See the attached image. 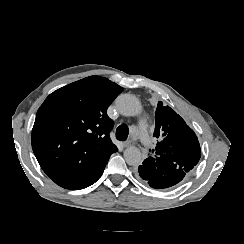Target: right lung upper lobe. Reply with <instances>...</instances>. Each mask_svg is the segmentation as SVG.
Instances as JSON below:
<instances>
[{"mask_svg": "<svg viewBox=\"0 0 244 244\" xmlns=\"http://www.w3.org/2000/svg\"><path fill=\"white\" fill-rule=\"evenodd\" d=\"M122 91L107 78L90 76L46 98L36 114L32 148L52 180L117 150L109 137L114 122L106 111Z\"/></svg>", "mask_w": 244, "mask_h": 244, "instance_id": "obj_1", "label": "right lung upper lobe"}]
</instances>
